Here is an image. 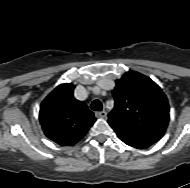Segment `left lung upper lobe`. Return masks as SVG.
Here are the masks:
<instances>
[{
	"mask_svg": "<svg viewBox=\"0 0 190 188\" xmlns=\"http://www.w3.org/2000/svg\"><path fill=\"white\" fill-rule=\"evenodd\" d=\"M115 106L110 126L163 136L169 122V104L161 88L149 77L132 71L116 81Z\"/></svg>",
	"mask_w": 190,
	"mask_h": 188,
	"instance_id": "left-lung-upper-lobe-1",
	"label": "left lung upper lobe"
}]
</instances>
